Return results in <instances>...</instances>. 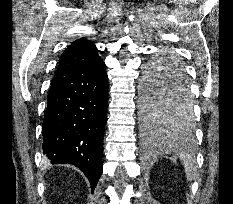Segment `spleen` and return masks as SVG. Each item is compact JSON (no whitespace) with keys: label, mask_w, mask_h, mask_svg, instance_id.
I'll return each instance as SVG.
<instances>
[{"label":"spleen","mask_w":233,"mask_h":204,"mask_svg":"<svg viewBox=\"0 0 233 204\" xmlns=\"http://www.w3.org/2000/svg\"><path fill=\"white\" fill-rule=\"evenodd\" d=\"M171 147V144H169L168 148L171 149ZM171 151H174L181 160L185 170L186 179L189 182L194 181L197 172V164L194 155L186 147L181 146H176L171 149Z\"/></svg>","instance_id":"spleen-1"}]
</instances>
